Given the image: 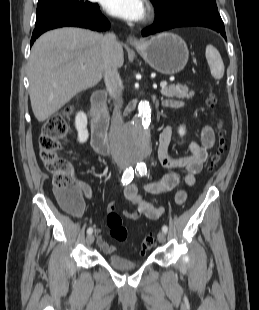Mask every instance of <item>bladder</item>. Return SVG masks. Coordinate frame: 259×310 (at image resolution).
Instances as JSON below:
<instances>
[{
	"label": "bladder",
	"mask_w": 259,
	"mask_h": 310,
	"mask_svg": "<svg viewBox=\"0 0 259 310\" xmlns=\"http://www.w3.org/2000/svg\"><path fill=\"white\" fill-rule=\"evenodd\" d=\"M107 262L112 267L120 270L133 269L138 266V262L128 260L125 257L118 254H110L107 258Z\"/></svg>",
	"instance_id": "bladder-1"
}]
</instances>
